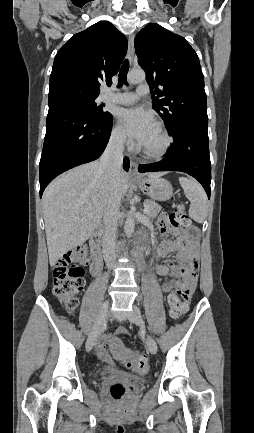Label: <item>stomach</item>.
I'll return each instance as SVG.
<instances>
[{"label":"stomach","instance_id":"1","mask_svg":"<svg viewBox=\"0 0 254 433\" xmlns=\"http://www.w3.org/2000/svg\"><path fill=\"white\" fill-rule=\"evenodd\" d=\"M138 187L153 200L166 201L173 195L170 182L160 177H148L135 181Z\"/></svg>","mask_w":254,"mask_h":433}]
</instances>
